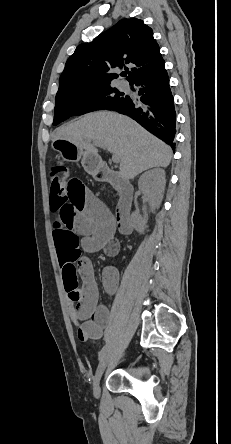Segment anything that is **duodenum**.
<instances>
[{
  "mask_svg": "<svg viewBox=\"0 0 231 444\" xmlns=\"http://www.w3.org/2000/svg\"><path fill=\"white\" fill-rule=\"evenodd\" d=\"M102 180L115 185L120 193V199L116 211V225L122 235H129L132 231L131 206L134 197L133 186L118 172L106 164H102L97 172Z\"/></svg>",
  "mask_w": 231,
  "mask_h": 444,
  "instance_id": "duodenum-1",
  "label": "duodenum"
}]
</instances>
